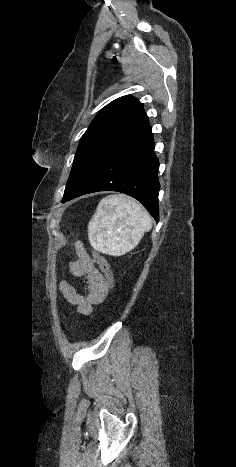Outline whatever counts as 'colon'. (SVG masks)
<instances>
[{
	"label": "colon",
	"instance_id": "obj_1",
	"mask_svg": "<svg viewBox=\"0 0 236 467\" xmlns=\"http://www.w3.org/2000/svg\"><path fill=\"white\" fill-rule=\"evenodd\" d=\"M92 257L93 260L97 263V265L100 267L102 273L104 274V277L107 281V284L109 286V289L113 287L114 283V276H113V271L107 262V260L96 250H92Z\"/></svg>",
	"mask_w": 236,
	"mask_h": 467
}]
</instances>
